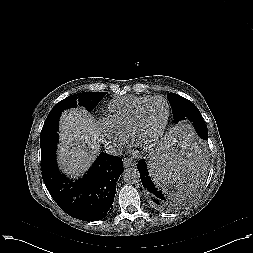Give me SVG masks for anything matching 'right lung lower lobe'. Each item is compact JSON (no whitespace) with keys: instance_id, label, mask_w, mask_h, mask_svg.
Segmentation results:
<instances>
[{"instance_id":"obj_1","label":"right lung lower lobe","mask_w":253,"mask_h":253,"mask_svg":"<svg viewBox=\"0 0 253 253\" xmlns=\"http://www.w3.org/2000/svg\"><path fill=\"white\" fill-rule=\"evenodd\" d=\"M55 158L41 162L42 178L54 201L79 220L105 218L113 208L116 183L124 171L122 159L100 153L87 174L73 182L60 173Z\"/></svg>"}]
</instances>
